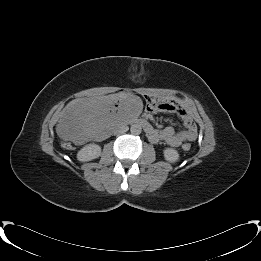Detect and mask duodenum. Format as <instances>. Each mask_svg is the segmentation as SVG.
Returning <instances> with one entry per match:
<instances>
[{"mask_svg":"<svg viewBox=\"0 0 261 261\" xmlns=\"http://www.w3.org/2000/svg\"><path fill=\"white\" fill-rule=\"evenodd\" d=\"M136 123L138 125H140L141 127H143V129L145 130V132L148 134L152 131V127L151 125L149 124V122L146 120V119H138L136 121Z\"/></svg>","mask_w":261,"mask_h":261,"instance_id":"obj_1","label":"duodenum"}]
</instances>
